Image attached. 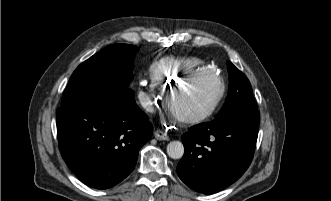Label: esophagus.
<instances>
[{
	"label": "esophagus",
	"instance_id": "obj_1",
	"mask_svg": "<svg viewBox=\"0 0 331 201\" xmlns=\"http://www.w3.org/2000/svg\"><path fill=\"white\" fill-rule=\"evenodd\" d=\"M154 136L157 140H168L169 139L168 135L159 129L154 132Z\"/></svg>",
	"mask_w": 331,
	"mask_h": 201
}]
</instances>
